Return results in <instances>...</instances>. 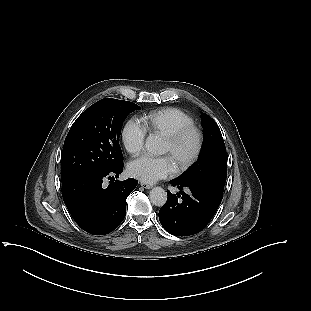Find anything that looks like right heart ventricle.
Here are the masks:
<instances>
[{
  "instance_id": "e07e8e85",
  "label": "right heart ventricle",
  "mask_w": 311,
  "mask_h": 311,
  "mask_svg": "<svg viewBox=\"0 0 311 311\" xmlns=\"http://www.w3.org/2000/svg\"><path fill=\"white\" fill-rule=\"evenodd\" d=\"M143 123L149 133L165 137L181 127L192 125L193 118L180 108L166 107L144 115Z\"/></svg>"
}]
</instances>
